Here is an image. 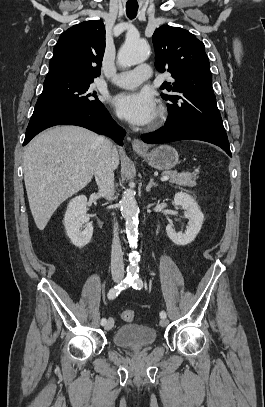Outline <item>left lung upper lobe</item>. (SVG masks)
Wrapping results in <instances>:
<instances>
[{"mask_svg": "<svg viewBox=\"0 0 265 407\" xmlns=\"http://www.w3.org/2000/svg\"><path fill=\"white\" fill-rule=\"evenodd\" d=\"M152 41L155 67L160 72H170L174 79L160 87L170 92L161 94L168 101L165 126L190 124L227 136L217 108L203 42L189 31L171 26L156 29Z\"/></svg>", "mask_w": 265, "mask_h": 407, "instance_id": "5c2ea615", "label": "left lung upper lobe"}]
</instances>
